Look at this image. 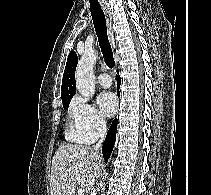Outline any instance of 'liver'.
<instances>
[{
  "label": "liver",
  "instance_id": "6515ba94",
  "mask_svg": "<svg viewBox=\"0 0 211 195\" xmlns=\"http://www.w3.org/2000/svg\"><path fill=\"white\" fill-rule=\"evenodd\" d=\"M102 165L100 154L88 146L61 145L52 160L50 195H75L77 177H80L81 188L89 191Z\"/></svg>",
  "mask_w": 211,
  "mask_h": 195
}]
</instances>
